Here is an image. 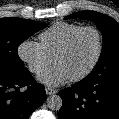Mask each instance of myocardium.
<instances>
[{"instance_id":"obj_1","label":"myocardium","mask_w":119,"mask_h":119,"mask_svg":"<svg viewBox=\"0 0 119 119\" xmlns=\"http://www.w3.org/2000/svg\"><path fill=\"white\" fill-rule=\"evenodd\" d=\"M86 31H92L96 34L97 39H98V50L96 53V56L94 58V60L92 61V63L90 64V66L81 74L70 78V81L72 82H79L84 80L85 78H87L97 67V65L100 62V59L102 57L103 54V49H104V41H103V36L101 34V32L93 26H84L82 28H80L79 30H77L76 32H74L69 39L66 41V43L61 47V49L55 54V56L53 57V62L55 63V61L63 56L64 54H66L71 47L73 46L74 42L76 41V39L84 32Z\"/></svg>"}]
</instances>
